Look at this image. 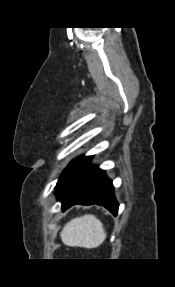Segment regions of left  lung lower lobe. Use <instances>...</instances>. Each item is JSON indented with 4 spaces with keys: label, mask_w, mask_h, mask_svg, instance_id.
Returning <instances> with one entry per match:
<instances>
[{
    "label": "left lung lower lobe",
    "mask_w": 175,
    "mask_h": 287,
    "mask_svg": "<svg viewBox=\"0 0 175 287\" xmlns=\"http://www.w3.org/2000/svg\"><path fill=\"white\" fill-rule=\"evenodd\" d=\"M58 199L62 203L63 210L75 204H98L117 215L119 207L114 196L112 181L98 166H90Z\"/></svg>",
    "instance_id": "0a47b994"
}]
</instances>
